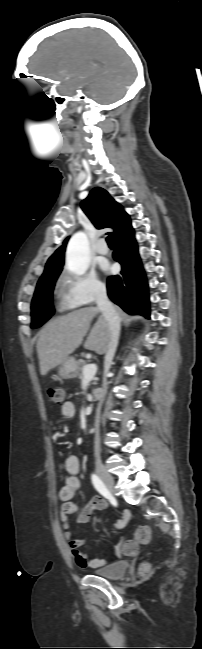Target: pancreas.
<instances>
[{
    "instance_id": "1",
    "label": "pancreas",
    "mask_w": 202,
    "mask_h": 649,
    "mask_svg": "<svg viewBox=\"0 0 202 649\" xmlns=\"http://www.w3.org/2000/svg\"><path fill=\"white\" fill-rule=\"evenodd\" d=\"M85 365H86V362L84 360L79 361V367H78V371H77V376L80 379L83 378L82 371H83V368H84Z\"/></svg>"
}]
</instances>
